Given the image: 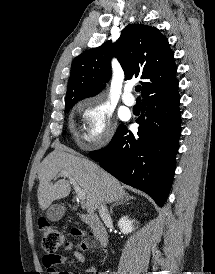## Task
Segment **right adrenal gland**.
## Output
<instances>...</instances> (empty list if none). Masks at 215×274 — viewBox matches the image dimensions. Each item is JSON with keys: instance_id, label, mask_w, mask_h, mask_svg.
<instances>
[{"instance_id": "obj_1", "label": "right adrenal gland", "mask_w": 215, "mask_h": 274, "mask_svg": "<svg viewBox=\"0 0 215 274\" xmlns=\"http://www.w3.org/2000/svg\"><path fill=\"white\" fill-rule=\"evenodd\" d=\"M130 199H133V197L127 196L125 200H121V201H119V202L114 203V204L110 207V213H111V214L113 213V208H114L115 206L126 204Z\"/></svg>"}]
</instances>
